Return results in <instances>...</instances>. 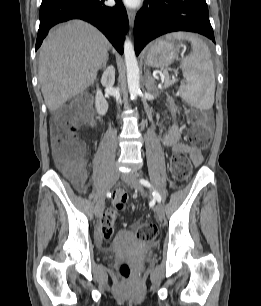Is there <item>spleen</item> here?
<instances>
[{
  "mask_svg": "<svg viewBox=\"0 0 261 306\" xmlns=\"http://www.w3.org/2000/svg\"><path fill=\"white\" fill-rule=\"evenodd\" d=\"M165 38L191 42L192 52L183 59L181 65L185 83L180 85V93L187 103L199 109L212 108L215 94V74L207 45L197 36L185 32L170 33Z\"/></svg>",
  "mask_w": 261,
  "mask_h": 306,
  "instance_id": "3e777b00",
  "label": "spleen"
}]
</instances>
